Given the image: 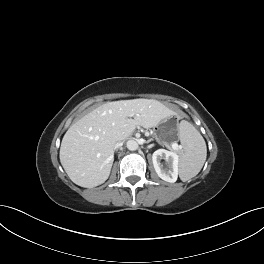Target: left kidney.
<instances>
[{
	"label": "left kidney",
	"instance_id": "left-kidney-1",
	"mask_svg": "<svg viewBox=\"0 0 264 264\" xmlns=\"http://www.w3.org/2000/svg\"><path fill=\"white\" fill-rule=\"evenodd\" d=\"M165 159L167 168L161 164V160ZM153 166L158 176L167 182L174 183L178 178V162L177 153L165 149H158L152 155Z\"/></svg>",
	"mask_w": 264,
	"mask_h": 264
}]
</instances>
